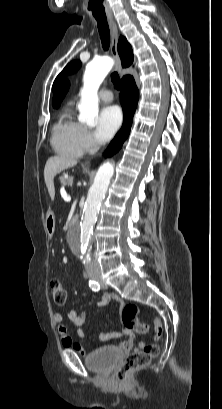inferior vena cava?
Returning a JSON list of instances; mask_svg holds the SVG:
<instances>
[{"instance_id": "obj_1", "label": "inferior vena cava", "mask_w": 222, "mask_h": 409, "mask_svg": "<svg viewBox=\"0 0 222 409\" xmlns=\"http://www.w3.org/2000/svg\"><path fill=\"white\" fill-rule=\"evenodd\" d=\"M87 267L88 269H99V265L96 261L92 260L91 258L88 259L87 261Z\"/></svg>"}]
</instances>
